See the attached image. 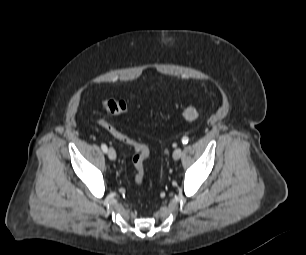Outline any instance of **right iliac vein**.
Returning <instances> with one entry per match:
<instances>
[{
	"label": "right iliac vein",
	"instance_id": "1",
	"mask_svg": "<svg viewBox=\"0 0 306 255\" xmlns=\"http://www.w3.org/2000/svg\"><path fill=\"white\" fill-rule=\"evenodd\" d=\"M108 157H109L110 160H115L116 159V152L113 148H109Z\"/></svg>",
	"mask_w": 306,
	"mask_h": 255
}]
</instances>
